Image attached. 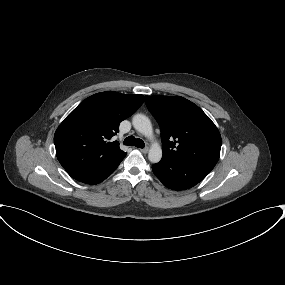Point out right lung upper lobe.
<instances>
[{
	"mask_svg": "<svg viewBox=\"0 0 285 285\" xmlns=\"http://www.w3.org/2000/svg\"><path fill=\"white\" fill-rule=\"evenodd\" d=\"M144 102L143 95L100 92L83 100L59 125L54 135L56 155L64 168L105 170L122 161L126 152L109 142L119 124Z\"/></svg>",
	"mask_w": 285,
	"mask_h": 285,
	"instance_id": "1",
	"label": "right lung upper lobe"
}]
</instances>
